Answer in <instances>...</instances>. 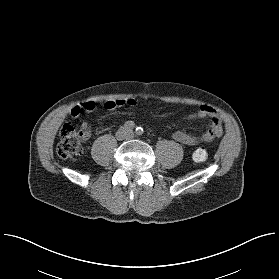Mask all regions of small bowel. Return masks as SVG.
I'll return each mask as SVG.
<instances>
[{"label":"small bowel","mask_w":279,"mask_h":279,"mask_svg":"<svg viewBox=\"0 0 279 279\" xmlns=\"http://www.w3.org/2000/svg\"><path fill=\"white\" fill-rule=\"evenodd\" d=\"M94 101L96 102H103L104 103V106L107 110H112L114 108H117V107H121V106H124V105H134L135 104V101L133 99H118V100H115V99H110V98H99V97H95L93 98ZM211 107L209 106H201L200 107V111L198 112V114H195V113H192L190 114L188 117L190 119H193L195 118L196 116H199V117H203L205 116V114L208 112V111H211ZM75 112V108L70 110L69 114L73 117H76L77 114L74 113ZM207 133V132H206ZM206 133H204L202 135V140L204 139ZM124 134V133H122ZM172 138L176 141H179V142H182V143H186V144H189V143H194L196 141V138L194 136H191L183 131H175L173 134H172Z\"/></svg>","instance_id":"1"}]
</instances>
